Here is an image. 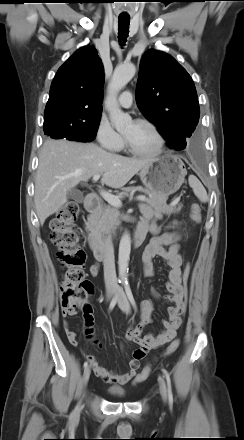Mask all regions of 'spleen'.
<instances>
[{
	"instance_id": "spleen-1",
	"label": "spleen",
	"mask_w": 244,
	"mask_h": 440,
	"mask_svg": "<svg viewBox=\"0 0 244 440\" xmlns=\"http://www.w3.org/2000/svg\"><path fill=\"white\" fill-rule=\"evenodd\" d=\"M188 183L190 187L193 189V192L196 195V197L201 202L206 203L208 201V195L202 183L198 180V178L194 175H190L188 177Z\"/></svg>"
}]
</instances>
